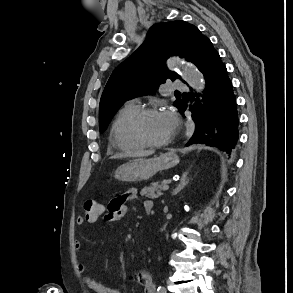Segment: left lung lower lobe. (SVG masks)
<instances>
[{"label": "left lung lower lobe", "instance_id": "0a47b994", "mask_svg": "<svg viewBox=\"0 0 293 293\" xmlns=\"http://www.w3.org/2000/svg\"><path fill=\"white\" fill-rule=\"evenodd\" d=\"M198 69L205 82L203 94L194 92L181 98L180 112L188 107L194 120V131L186 144L215 146L231 152L238 140V118L235 96L227 69L210 40L207 41Z\"/></svg>", "mask_w": 293, "mask_h": 293}]
</instances>
